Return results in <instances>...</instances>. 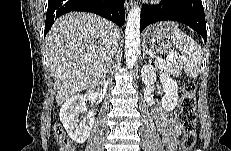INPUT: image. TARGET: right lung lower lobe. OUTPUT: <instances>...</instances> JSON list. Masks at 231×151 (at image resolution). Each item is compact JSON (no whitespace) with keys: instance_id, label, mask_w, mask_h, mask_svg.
Segmentation results:
<instances>
[{"instance_id":"right-lung-lower-lobe-1","label":"right lung lower lobe","mask_w":231,"mask_h":151,"mask_svg":"<svg viewBox=\"0 0 231 151\" xmlns=\"http://www.w3.org/2000/svg\"><path fill=\"white\" fill-rule=\"evenodd\" d=\"M71 11L95 13L119 26L125 21L124 0H48L44 37L58 17Z\"/></svg>"}]
</instances>
